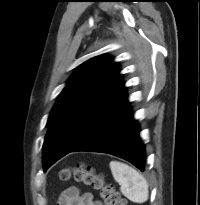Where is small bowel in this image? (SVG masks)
<instances>
[{
	"label": "small bowel",
	"instance_id": "c3829d8e",
	"mask_svg": "<svg viewBox=\"0 0 200 205\" xmlns=\"http://www.w3.org/2000/svg\"><path fill=\"white\" fill-rule=\"evenodd\" d=\"M57 205H102L100 202L95 201L90 193L80 194L75 187L65 190Z\"/></svg>",
	"mask_w": 200,
	"mask_h": 205
}]
</instances>
